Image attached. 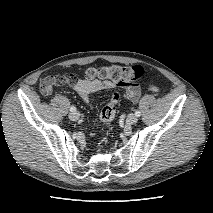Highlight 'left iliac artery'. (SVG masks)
Masks as SVG:
<instances>
[{
  "label": "left iliac artery",
  "instance_id": "1",
  "mask_svg": "<svg viewBox=\"0 0 213 213\" xmlns=\"http://www.w3.org/2000/svg\"><path fill=\"white\" fill-rule=\"evenodd\" d=\"M135 116L140 117L141 116V112L139 110H136Z\"/></svg>",
  "mask_w": 213,
  "mask_h": 213
}]
</instances>
